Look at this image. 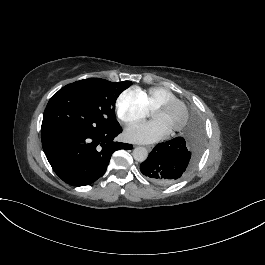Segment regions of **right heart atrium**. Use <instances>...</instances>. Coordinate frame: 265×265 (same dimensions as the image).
<instances>
[{
  "instance_id": "1",
  "label": "right heart atrium",
  "mask_w": 265,
  "mask_h": 265,
  "mask_svg": "<svg viewBox=\"0 0 265 265\" xmlns=\"http://www.w3.org/2000/svg\"><path fill=\"white\" fill-rule=\"evenodd\" d=\"M119 118L126 124L143 120L148 111L143 102L132 91L123 93L117 101Z\"/></svg>"
}]
</instances>
